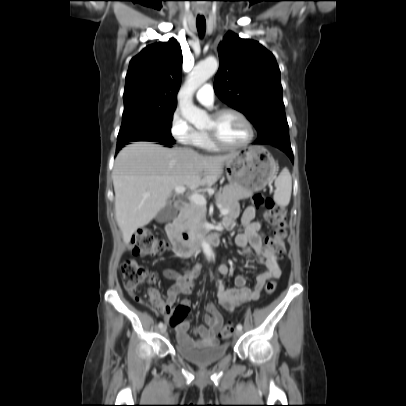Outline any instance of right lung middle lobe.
Instances as JSON below:
<instances>
[{
    "label": "right lung middle lobe",
    "mask_w": 406,
    "mask_h": 406,
    "mask_svg": "<svg viewBox=\"0 0 406 406\" xmlns=\"http://www.w3.org/2000/svg\"><path fill=\"white\" fill-rule=\"evenodd\" d=\"M175 108L152 106L124 108L117 147H123L135 141L174 143L170 129Z\"/></svg>",
    "instance_id": "right-lung-middle-lobe-1"
}]
</instances>
